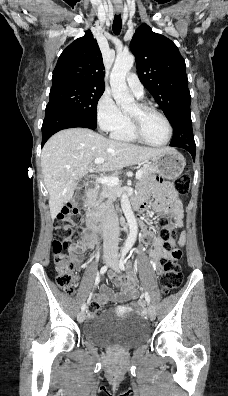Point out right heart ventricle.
<instances>
[{
	"label": "right heart ventricle",
	"instance_id": "obj_1",
	"mask_svg": "<svg viewBox=\"0 0 228 396\" xmlns=\"http://www.w3.org/2000/svg\"><path fill=\"white\" fill-rule=\"evenodd\" d=\"M111 136L114 139L121 140V141H127V142H137L138 141V139L135 137V135L133 134V132L131 130L129 119L127 120L125 125L114 130L113 132H111Z\"/></svg>",
	"mask_w": 228,
	"mask_h": 396
}]
</instances>
